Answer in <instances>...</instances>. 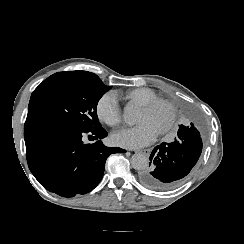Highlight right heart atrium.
Here are the masks:
<instances>
[{
    "mask_svg": "<svg viewBox=\"0 0 244 244\" xmlns=\"http://www.w3.org/2000/svg\"><path fill=\"white\" fill-rule=\"evenodd\" d=\"M95 112L99 120L109 126H117L122 121L121 108L112 92H105L98 98Z\"/></svg>",
    "mask_w": 244,
    "mask_h": 244,
    "instance_id": "right-heart-atrium-1",
    "label": "right heart atrium"
}]
</instances>
